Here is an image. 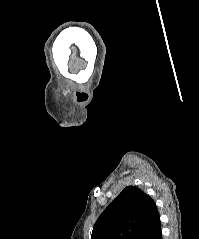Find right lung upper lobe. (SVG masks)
Wrapping results in <instances>:
<instances>
[{"mask_svg": "<svg viewBox=\"0 0 199 239\" xmlns=\"http://www.w3.org/2000/svg\"><path fill=\"white\" fill-rule=\"evenodd\" d=\"M159 220L152 198L129 186L99 216L91 239H141Z\"/></svg>", "mask_w": 199, "mask_h": 239, "instance_id": "obj_1", "label": "right lung upper lobe"}]
</instances>
